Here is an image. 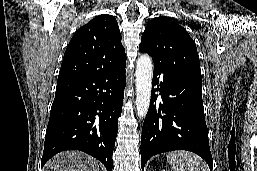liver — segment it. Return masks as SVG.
Masks as SVG:
<instances>
[{
	"instance_id": "6515ba94",
	"label": "liver",
	"mask_w": 257,
	"mask_h": 171,
	"mask_svg": "<svg viewBox=\"0 0 257 171\" xmlns=\"http://www.w3.org/2000/svg\"><path fill=\"white\" fill-rule=\"evenodd\" d=\"M43 171H99V163L79 151H65L49 160Z\"/></svg>"
}]
</instances>
